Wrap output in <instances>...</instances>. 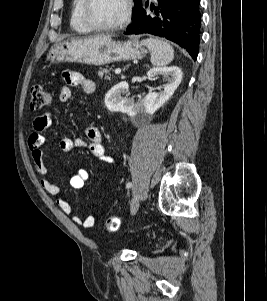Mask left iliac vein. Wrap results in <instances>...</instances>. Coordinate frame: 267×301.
<instances>
[{"label":"left iliac vein","mask_w":267,"mask_h":301,"mask_svg":"<svg viewBox=\"0 0 267 301\" xmlns=\"http://www.w3.org/2000/svg\"><path fill=\"white\" fill-rule=\"evenodd\" d=\"M139 204H140V198L138 196V194H134L131 200V213L135 214L139 208Z\"/></svg>","instance_id":"4c4485c4"}]
</instances>
